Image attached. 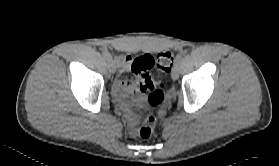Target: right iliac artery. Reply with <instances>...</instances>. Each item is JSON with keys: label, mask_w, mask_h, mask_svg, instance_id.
<instances>
[{"label": "right iliac artery", "mask_w": 279, "mask_h": 166, "mask_svg": "<svg viewBox=\"0 0 279 166\" xmlns=\"http://www.w3.org/2000/svg\"><path fill=\"white\" fill-rule=\"evenodd\" d=\"M103 56L107 59V60H112V57L110 55V53L106 50H103Z\"/></svg>", "instance_id": "right-iliac-artery-1"}]
</instances>
